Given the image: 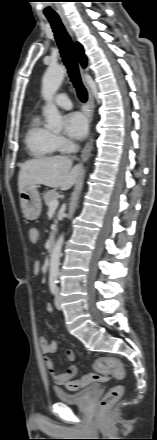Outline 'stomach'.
Masks as SVG:
<instances>
[{"instance_id":"stomach-1","label":"stomach","mask_w":157,"mask_h":440,"mask_svg":"<svg viewBox=\"0 0 157 440\" xmlns=\"http://www.w3.org/2000/svg\"><path fill=\"white\" fill-rule=\"evenodd\" d=\"M20 206L27 219L35 220L40 216L42 203L36 186H29L20 193Z\"/></svg>"}]
</instances>
